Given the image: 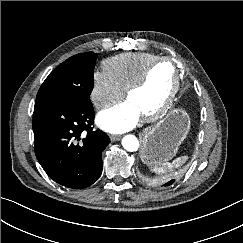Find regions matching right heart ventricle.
Segmentation results:
<instances>
[{"label":"right heart ventricle","mask_w":243,"mask_h":243,"mask_svg":"<svg viewBox=\"0 0 243 243\" xmlns=\"http://www.w3.org/2000/svg\"><path fill=\"white\" fill-rule=\"evenodd\" d=\"M156 57L152 53L119 54L105 60L104 69L125 90Z\"/></svg>","instance_id":"right-heart-ventricle-1"}]
</instances>
